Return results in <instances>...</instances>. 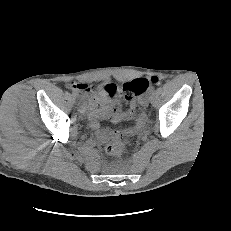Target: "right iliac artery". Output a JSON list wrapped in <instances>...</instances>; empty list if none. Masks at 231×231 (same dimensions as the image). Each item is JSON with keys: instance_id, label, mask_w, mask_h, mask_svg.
Listing matches in <instances>:
<instances>
[{"instance_id": "obj_1", "label": "right iliac artery", "mask_w": 231, "mask_h": 231, "mask_svg": "<svg viewBox=\"0 0 231 231\" xmlns=\"http://www.w3.org/2000/svg\"><path fill=\"white\" fill-rule=\"evenodd\" d=\"M72 94L74 97H76L78 95L77 91H75V90L72 91Z\"/></svg>"}]
</instances>
